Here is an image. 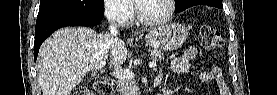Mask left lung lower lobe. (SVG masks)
Returning a JSON list of instances; mask_svg holds the SVG:
<instances>
[{"label": "left lung lower lobe", "mask_w": 277, "mask_h": 95, "mask_svg": "<svg viewBox=\"0 0 277 95\" xmlns=\"http://www.w3.org/2000/svg\"><path fill=\"white\" fill-rule=\"evenodd\" d=\"M204 5H208V4H204ZM208 6H210V5H208ZM218 8L222 9L223 7H218Z\"/></svg>", "instance_id": "left-lung-lower-lobe-1"}]
</instances>
